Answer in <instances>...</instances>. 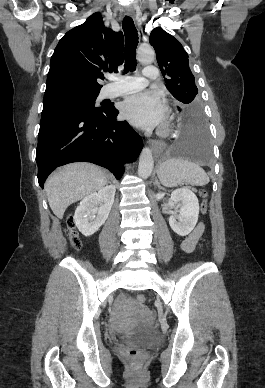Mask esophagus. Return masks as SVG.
<instances>
[{
	"instance_id": "obj_1",
	"label": "esophagus",
	"mask_w": 265,
	"mask_h": 388,
	"mask_svg": "<svg viewBox=\"0 0 265 388\" xmlns=\"http://www.w3.org/2000/svg\"><path fill=\"white\" fill-rule=\"evenodd\" d=\"M126 14L129 17H135V10L126 9ZM149 145L155 156L160 155L166 147L164 143L160 141H153V140L149 142Z\"/></svg>"
}]
</instances>
